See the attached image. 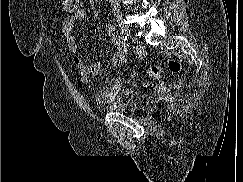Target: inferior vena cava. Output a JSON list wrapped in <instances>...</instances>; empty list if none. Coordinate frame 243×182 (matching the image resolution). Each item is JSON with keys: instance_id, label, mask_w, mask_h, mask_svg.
Instances as JSON below:
<instances>
[{"instance_id": "inferior-vena-cava-1", "label": "inferior vena cava", "mask_w": 243, "mask_h": 182, "mask_svg": "<svg viewBox=\"0 0 243 182\" xmlns=\"http://www.w3.org/2000/svg\"><path fill=\"white\" fill-rule=\"evenodd\" d=\"M120 0H110L114 13L120 12Z\"/></svg>"}]
</instances>
